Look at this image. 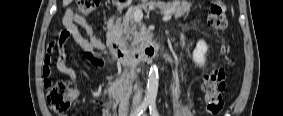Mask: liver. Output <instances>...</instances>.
<instances>
[{
    "label": "liver",
    "instance_id": "6515ba94",
    "mask_svg": "<svg viewBox=\"0 0 283 116\" xmlns=\"http://www.w3.org/2000/svg\"><path fill=\"white\" fill-rule=\"evenodd\" d=\"M72 2V0H63V5L67 6Z\"/></svg>",
    "mask_w": 283,
    "mask_h": 116
}]
</instances>
